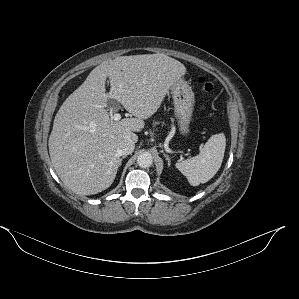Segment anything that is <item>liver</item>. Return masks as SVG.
Returning a JSON list of instances; mask_svg holds the SVG:
<instances>
[{
	"instance_id": "liver-1",
	"label": "liver",
	"mask_w": 299,
	"mask_h": 299,
	"mask_svg": "<svg viewBox=\"0 0 299 299\" xmlns=\"http://www.w3.org/2000/svg\"><path fill=\"white\" fill-rule=\"evenodd\" d=\"M185 73L181 62L159 53L121 56L95 67L59 108L49 137L51 161L63 183L80 195L110 187L121 165L119 142L138 141L135 132ZM109 99L135 118L111 119L105 109Z\"/></svg>"
}]
</instances>
